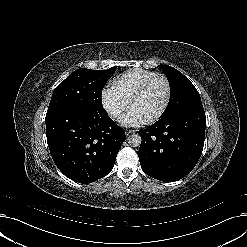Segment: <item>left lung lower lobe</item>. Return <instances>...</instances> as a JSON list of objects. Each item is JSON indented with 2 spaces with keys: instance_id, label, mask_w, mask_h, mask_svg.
Returning a JSON list of instances; mask_svg holds the SVG:
<instances>
[{
  "instance_id": "left-lung-lower-lobe-1",
  "label": "left lung lower lobe",
  "mask_w": 247,
  "mask_h": 247,
  "mask_svg": "<svg viewBox=\"0 0 247 247\" xmlns=\"http://www.w3.org/2000/svg\"><path fill=\"white\" fill-rule=\"evenodd\" d=\"M205 127L206 116L200 103L138 131L142 137L139 160L143 171L161 181L186 176L201 156Z\"/></svg>"
}]
</instances>
